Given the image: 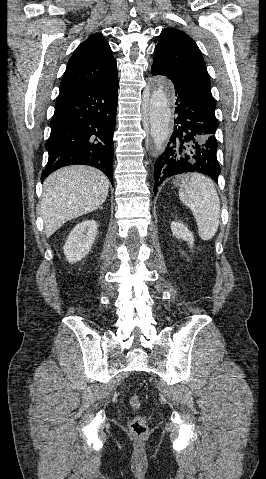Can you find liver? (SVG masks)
<instances>
[{"label":"liver","instance_id":"obj_1","mask_svg":"<svg viewBox=\"0 0 266 479\" xmlns=\"http://www.w3.org/2000/svg\"><path fill=\"white\" fill-rule=\"evenodd\" d=\"M109 180L84 165L59 169L44 181L41 215L50 237L64 223L98 209L106 200Z\"/></svg>","mask_w":266,"mask_h":479}]
</instances>
